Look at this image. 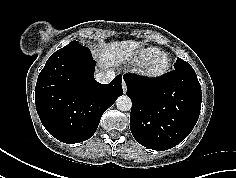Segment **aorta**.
<instances>
[{"mask_svg": "<svg viewBox=\"0 0 236 178\" xmlns=\"http://www.w3.org/2000/svg\"><path fill=\"white\" fill-rule=\"evenodd\" d=\"M116 106L120 111H129L132 107V101L128 96L122 95L117 98Z\"/></svg>", "mask_w": 236, "mask_h": 178, "instance_id": "aorta-1", "label": "aorta"}]
</instances>
